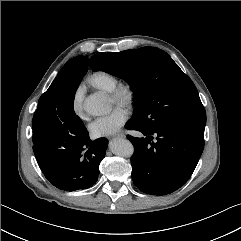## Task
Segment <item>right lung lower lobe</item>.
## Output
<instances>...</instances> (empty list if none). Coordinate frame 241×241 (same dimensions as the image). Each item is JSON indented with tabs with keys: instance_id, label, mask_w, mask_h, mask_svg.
Masks as SVG:
<instances>
[{
	"instance_id": "right-lung-lower-lobe-1",
	"label": "right lung lower lobe",
	"mask_w": 241,
	"mask_h": 241,
	"mask_svg": "<svg viewBox=\"0 0 241 241\" xmlns=\"http://www.w3.org/2000/svg\"><path fill=\"white\" fill-rule=\"evenodd\" d=\"M33 143L36 160L48 181L61 190L75 191L96 183L108 141L105 138L91 141L87 132L74 145L51 149V144L33 130Z\"/></svg>"
}]
</instances>
